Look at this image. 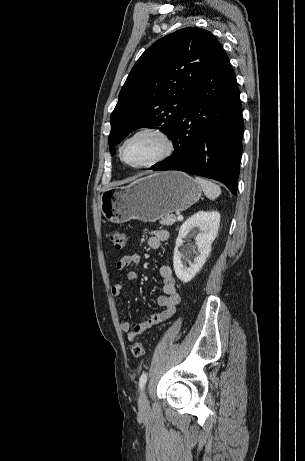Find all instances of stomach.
<instances>
[{"instance_id":"0dacf381","label":"stomach","mask_w":305,"mask_h":461,"mask_svg":"<svg viewBox=\"0 0 305 461\" xmlns=\"http://www.w3.org/2000/svg\"><path fill=\"white\" fill-rule=\"evenodd\" d=\"M202 188L180 171H164L143 177L121 188L103 192L100 209L113 223L131 219L153 222L164 215L184 211L195 204Z\"/></svg>"}]
</instances>
